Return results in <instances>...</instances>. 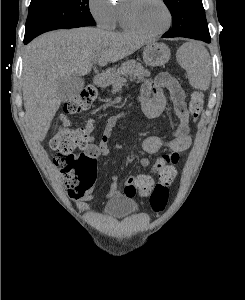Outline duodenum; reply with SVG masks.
I'll return each instance as SVG.
<instances>
[{
    "label": "duodenum",
    "instance_id": "obj_1",
    "mask_svg": "<svg viewBox=\"0 0 245 300\" xmlns=\"http://www.w3.org/2000/svg\"><path fill=\"white\" fill-rule=\"evenodd\" d=\"M107 82H108V78L107 75L104 73H99L94 77V83L99 87L106 86Z\"/></svg>",
    "mask_w": 245,
    "mask_h": 300
}]
</instances>
